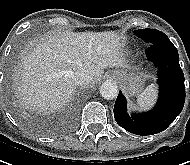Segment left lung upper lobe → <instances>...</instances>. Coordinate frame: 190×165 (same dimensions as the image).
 Masks as SVG:
<instances>
[{
  "label": "left lung upper lobe",
  "mask_w": 190,
  "mask_h": 165,
  "mask_svg": "<svg viewBox=\"0 0 190 165\" xmlns=\"http://www.w3.org/2000/svg\"><path fill=\"white\" fill-rule=\"evenodd\" d=\"M134 34L145 40V42H147L149 45L168 38L166 34L156 29H140L134 31Z\"/></svg>",
  "instance_id": "obj_1"
}]
</instances>
